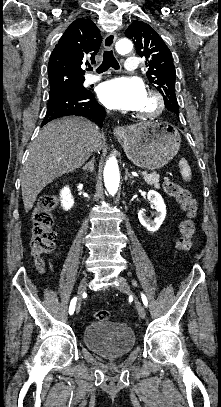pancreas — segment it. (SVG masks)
Listing matches in <instances>:
<instances>
[{"label":"pancreas","mask_w":221,"mask_h":407,"mask_svg":"<svg viewBox=\"0 0 221 407\" xmlns=\"http://www.w3.org/2000/svg\"><path fill=\"white\" fill-rule=\"evenodd\" d=\"M143 178L148 185L154 186L157 189L160 188L159 174H156V173L148 174L147 173L146 175L143 176Z\"/></svg>","instance_id":"obj_1"}]
</instances>
